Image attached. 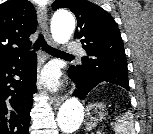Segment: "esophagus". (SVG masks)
<instances>
[{"mask_svg":"<svg viewBox=\"0 0 153 134\" xmlns=\"http://www.w3.org/2000/svg\"><path fill=\"white\" fill-rule=\"evenodd\" d=\"M37 12H38V20L42 28V31L44 33L45 40L50 46H55V42L53 41L49 31L46 7L39 6ZM64 99H65L64 96L54 95L52 97V102L55 106H59L64 101Z\"/></svg>","mask_w":153,"mask_h":134,"instance_id":"1","label":"esophagus"}]
</instances>
